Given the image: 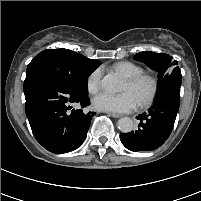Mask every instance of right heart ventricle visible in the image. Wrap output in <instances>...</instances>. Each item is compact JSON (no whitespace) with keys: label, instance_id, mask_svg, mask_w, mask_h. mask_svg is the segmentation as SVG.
<instances>
[{"label":"right heart ventricle","instance_id":"obj_1","mask_svg":"<svg viewBox=\"0 0 201 201\" xmlns=\"http://www.w3.org/2000/svg\"><path fill=\"white\" fill-rule=\"evenodd\" d=\"M112 69L123 77L128 78L143 72V68L130 61L117 62L112 66Z\"/></svg>","mask_w":201,"mask_h":201}]
</instances>
